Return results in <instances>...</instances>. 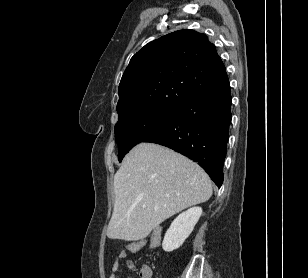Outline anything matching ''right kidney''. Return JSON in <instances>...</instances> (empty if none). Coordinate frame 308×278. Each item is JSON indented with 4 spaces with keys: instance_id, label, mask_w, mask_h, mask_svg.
Listing matches in <instances>:
<instances>
[{
    "instance_id": "1",
    "label": "right kidney",
    "mask_w": 308,
    "mask_h": 278,
    "mask_svg": "<svg viewBox=\"0 0 308 278\" xmlns=\"http://www.w3.org/2000/svg\"><path fill=\"white\" fill-rule=\"evenodd\" d=\"M202 214L201 207H193L181 213L165 233L162 248L166 252L178 249L192 233Z\"/></svg>"
}]
</instances>
